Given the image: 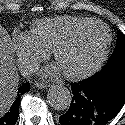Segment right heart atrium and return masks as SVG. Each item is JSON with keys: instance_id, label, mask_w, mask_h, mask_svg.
<instances>
[{"instance_id": "1", "label": "right heart atrium", "mask_w": 125, "mask_h": 125, "mask_svg": "<svg viewBox=\"0 0 125 125\" xmlns=\"http://www.w3.org/2000/svg\"><path fill=\"white\" fill-rule=\"evenodd\" d=\"M11 44L24 73L33 72L49 53L37 44L31 32L28 31H16L12 36Z\"/></svg>"}]
</instances>
